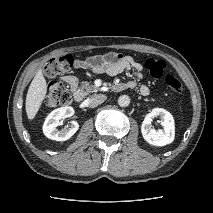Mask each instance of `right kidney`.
I'll return each mask as SVG.
<instances>
[{"mask_svg": "<svg viewBox=\"0 0 213 213\" xmlns=\"http://www.w3.org/2000/svg\"><path fill=\"white\" fill-rule=\"evenodd\" d=\"M74 114V109L70 106L61 107L53 110L45 119L43 124L44 135L52 140L65 141L70 139L78 130L79 124L72 121L69 126L58 130L57 126L60 119L71 117Z\"/></svg>", "mask_w": 213, "mask_h": 213, "instance_id": "ca27d5eb", "label": "right kidney"}]
</instances>
